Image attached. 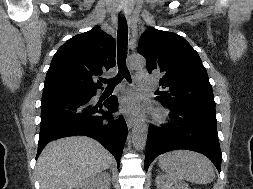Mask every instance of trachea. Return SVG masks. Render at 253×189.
I'll use <instances>...</instances> for the list:
<instances>
[{
	"mask_svg": "<svg viewBox=\"0 0 253 189\" xmlns=\"http://www.w3.org/2000/svg\"><path fill=\"white\" fill-rule=\"evenodd\" d=\"M127 41H128V27L125 17L118 18V32H117V62L119 72L116 77L112 79H101V82L106 83L108 88H114L119 84L123 78L131 82L130 72L126 66L127 58Z\"/></svg>",
	"mask_w": 253,
	"mask_h": 189,
	"instance_id": "trachea-1",
	"label": "trachea"
}]
</instances>
